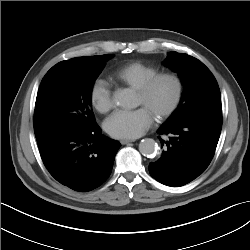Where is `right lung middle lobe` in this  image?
<instances>
[{"label": "right lung middle lobe", "instance_id": "1", "mask_svg": "<svg viewBox=\"0 0 250 250\" xmlns=\"http://www.w3.org/2000/svg\"><path fill=\"white\" fill-rule=\"evenodd\" d=\"M113 56H95L86 65L62 68L44 76L35 104L36 138L86 131L97 125L91 108L92 87L106 61Z\"/></svg>", "mask_w": 250, "mask_h": 250}]
</instances>
